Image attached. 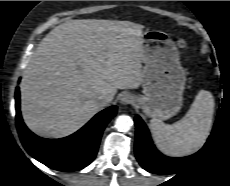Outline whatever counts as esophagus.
<instances>
[{"label": "esophagus", "instance_id": "1", "mask_svg": "<svg viewBox=\"0 0 230 186\" xmlns=\"http://www.w3.org/2000/svg\"><path fill=\"white\" fill-rule=\"evenodd\" d=\"M133 102H134V98L132 95L126 93L121 96L120 99L121 104L128 105V104H132Z\"/></svg>", "mask_w": 230, "mask_h": 186}]
</instances>
